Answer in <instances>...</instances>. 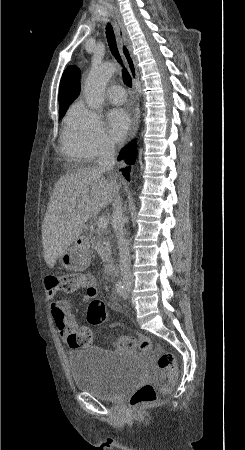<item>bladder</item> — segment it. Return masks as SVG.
Listing matches in <instances>:
<instances>
[{"label":"bladder","instance_id":"31cf9c89","mask_svg":"<svg viewBox=\"0 0 245 450\" xmlns=\"http://www.w3.org/2000/svg\"><path fill=\"white\" fill-rule=\"evenodd\" d=\"M73 384L78 391L114 401L139 387L147 368L139 355L102 347H88L66 353Z\"/></svg>","mask_w":245,"mask_h":450}]
</instances>
